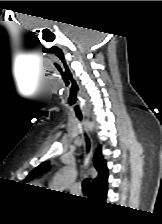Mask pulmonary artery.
<instances>
[{
    "mask_svg": "<svg viewBox=\"0 0 162 224\" xmlns=\"http://www.w3.org/2000/svg\"><path fill=\"white\" fill-rule=\"evenodd\" d=\"M71 191L74 193H79L81 191V184L79 182L75 183L72 186Z\"/></svg>",
    "mask_w": 162,
    "mask_h": 224,
    "instance_id": "pulmonary-artery-1",
    "label": "pulmonary artery"
}]
</instances>
